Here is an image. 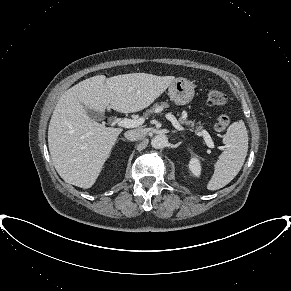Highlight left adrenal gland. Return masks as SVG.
Segmentation results:
<instances>
[{
	"label": "left adrenal gland",
	"mask_w": 291,
	"mask_h": 291,
	"mask_svg": "<svg viewBox=\"0 0 291 291\" xmlns=\"http://www.w3.org/2000/svg\"><path fill=\"white\" fill-rule=\"evenodd\" d=\"M175 133H177V131H176V130L172 131V134H175Z\"/></svg>",
	"instance_id": "1"
}]
</instances>
